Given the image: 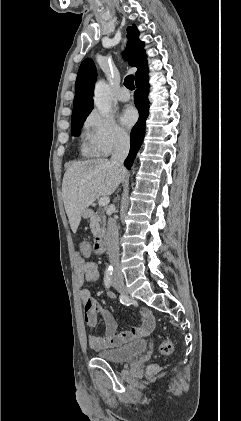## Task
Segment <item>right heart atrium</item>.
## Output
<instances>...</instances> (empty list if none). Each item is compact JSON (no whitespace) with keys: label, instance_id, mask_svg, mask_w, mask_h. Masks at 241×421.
Listing matches in <instances>:
<instances>
[{"label":"right heart atrium","instance_id":"1","mask_svg":"<svg viewBox=\"0 0 241 421\" xmlns=\"http://www.w3.org/2000/svg\"><path fill=\"white\" fill-rule=\"evenodd\" d=\"M89 152L98 157L108 156L129 142L128 133L110 115L93 110L84 123Z\"/></svg>","mask_w":241,"mask_h":421}]
</instances>
